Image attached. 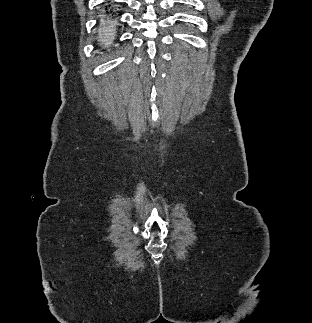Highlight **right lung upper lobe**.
<instances>
[{
    "label": "right lung upper lobe",
    "instance_id": "cb5924a9",
    "mask_svg": "<svg viewBox=\"0 0 312 323\" xmlns=\"http://www.w3.org/2000/svg\"><path fill=\"white\" fill-rule=\"evenodd\" d=\"M105 3V2H104ZM103 4V3H102ZM103 6V5H102ZM103 8V7H102ZM105 13V10L103 9V13L102 14H104Z\"/></svg>",
    "mask_w": 312,
    "mask_h": 323
}]
</instances>
